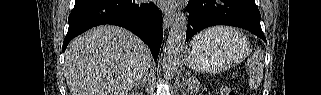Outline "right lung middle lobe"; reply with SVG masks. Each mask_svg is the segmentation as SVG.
<instances>
[{"mask_svg": "<svg viewBox=\"0 0 321 95\" xmlns=\"http://www.w3.org/2000/svg\"><path fill=\"white\" fill-rule=\"evenodd\" d=\"M88 1H93V0H76V3H75V4H77V3H82V2H88Z\"/></svg>", "mask_w": 321, "mask_h": 95, "instance_id": "right-lung-middle-lobe-1", "label": "right lung middle lobe"}]
</instances>
